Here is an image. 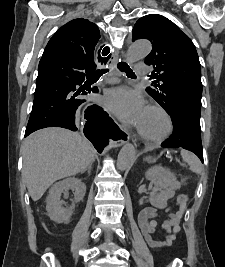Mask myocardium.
I'll return each instance as SVG.
<instances>
[{
    "label": "myocardium",
    "mask_w": 225,
    "mask_h": 267,
    "mask_svg": "<svg viewBox=\"0 0 225 267\" xmlns=\"http://www.w3.org/2000/svg\"><path fill=\"white\" fill-rule=\"evenodd\" d=\"M147 108L160 112L164 116V118L166 119L167 128L164 131V133L158 137L146 136L139 128H138V134L146 142L160 143V142L165 141L166 139H168L171 136L173 129H174V123H173V119H172L171 115L168 113V111L165 108H163L162 106H160L158 104H150V105H148Z\"/></svg>",
    "instance_id": "f54148a6"
}]
</instances>
